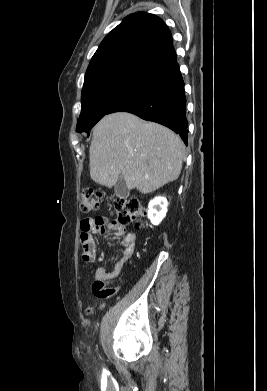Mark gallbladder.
Segmentation results:
<instances>
[{"label":"gallbladder","instance_id":"gallbladder-1","mask_svg":"<svg viewBox=\"0 0 267 391\" xmlns=\"http://www.w3.org/2000/svg\"><path fill=\"white\" fill-rule=\"evenodd\" d=\"M129 188L126 185L124 178L120 175L115 184V194L121 199H126L129 196Z\"/></svg>","mask_w":267,"mask_h":391}]
</instances>
